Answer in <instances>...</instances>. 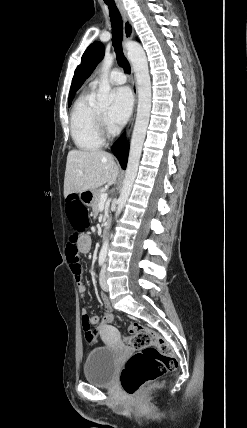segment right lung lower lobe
I'll return each instance as SVG.
<instances>
[{"instance_id": "right-lung-lower-lobe-1", "label": "right lung lower lobe", "mask_w": 247, "mask_h": 428, "mask_svg": "<svg viewBox=\"0 0 247 428\" xmlns=\"http://www.w3.org/2000/svg\"><path fill=\"white\" fill-rule=\"evenodd\" d=\"M128 144L125 142V135H122L116 143L112 146V151L115 156H117L123 169L126 168L127 159H128Z\"/></svg>"}]
</instances>
